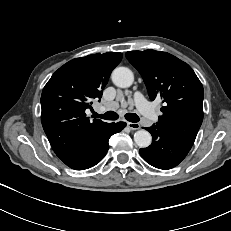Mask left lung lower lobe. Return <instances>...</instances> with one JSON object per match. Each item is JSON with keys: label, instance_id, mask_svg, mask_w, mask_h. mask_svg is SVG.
<instances>
[{"label": "left lung lower lobe", "instance_id": "1", "mask_svg": "<svg viewBox=\"0 0 231 231\" xmlns=\"http://www.w3.org/2000/svg\"><path fill=\"white\" fill-rule=\"evenodd\" d=\"M146 130L152 135V144L140 149V155L150 165L159 169H171L177 166L193 145L157 123Z\"/></svg>", "mask_w": 231, "mask_h": 231}]
</instances>
